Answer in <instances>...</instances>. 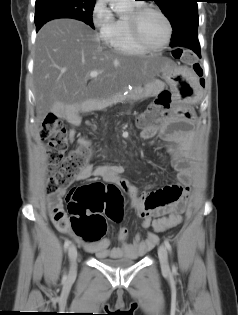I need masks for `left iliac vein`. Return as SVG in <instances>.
Masks as SVG:
<instances>
[{"instance_id": "4c4485c4", "label": "left iliac vein", "mask_w": 238, "mask_h": 315, "mask_svg": "<svg viewBox=\"0 0 238 315\" xmlns=\"http://www.w3.org/2000/svg\"><path fill=\"white\" fill-rule=\"evenodd\" d=\"M158 255L162 270L164 272H168L169 271L168 253L164 245H160L158 249Z\"/></svg>"}]
</instances>
